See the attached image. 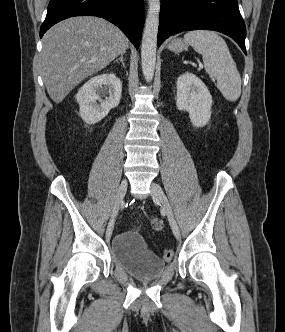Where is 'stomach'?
Returning a JSON list of instances; mask_svg holds the SVG:
<instances>
[{
	"label": "stomach",
	"mask_w": 285,
	"mask_h": 332,
	"mask_svg": "<svg viewBox=\"0 0 285 332\" xmlns=\"http://www.w3.org/2000/svg\"><path fill=\"white\" fill-rule=\"evenodd\" d=\"M187 47V42L180 38L174 39L168 44V49L173 52L184 51L185 49H187Z\"/></svg>",
	"instance_id": "obj_1"
}]
</instances>
